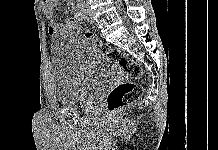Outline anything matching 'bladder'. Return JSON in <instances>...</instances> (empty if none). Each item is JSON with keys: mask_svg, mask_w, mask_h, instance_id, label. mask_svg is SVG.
<instances>
[{"mask_svg": "<svg viewBox=\"0 0 218 150\" xmlns=\"http://www.w3.org/2000/svg\"><path fill=\"white\" fill-rule=\"evenodd\" d=\"M52 56L57 68L55 100L66 108L86 107L100 82L115 70L97 49L66 34L53 39Z\"/></svg>", "mask_w": 218, "mask_h": 150, "instance_id": "1", "label": "bladder"}]
</instances>
